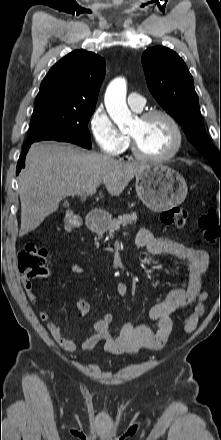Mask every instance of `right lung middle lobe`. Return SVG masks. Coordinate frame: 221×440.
<instances>
[{
    "instance_id": "right-lung-middle-lobe-1",
    "label": "right lung middle lobe",
    "mask_w": 221,
    "mask_h": 440,
    "mask_svg": "<svg viewBox=\"0 0 221 440\" xmlns=\"http://www.w3.org/2000/svg\"><path fill=\"white\" fill-rule=\"evenodd\" d=\"M94 110L95 107L74 106L56 101L36 103L27 141H65L90 149L87 124Z\"/></svg>"
}]
</instances>
